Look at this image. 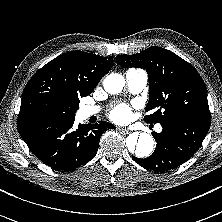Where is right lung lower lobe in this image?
<instances>
[{
	"label": "right lung lower lobe",
	"mask_w": 222,
	"mask_h": 222,
	"mask_svg": "<svg viewBox=\"0 0 222 222\" xmlns=\"http://www.w3.org/2000/svg\"><path fill=\"white\" fill-rule=\"evenodd\" d=\"M74 120L37 119L17 124L18 132L31 152L57 170H74L89 162L97 153L101 135L115 127L106 121L78 125Z\"/></svg>",
	"instance_id": "obj_1"
}]
</instances>
